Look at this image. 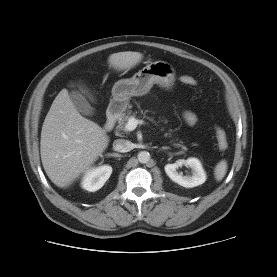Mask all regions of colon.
<instances>
[{"instance_id": "1", "label": "colon", "mask_w": 277, "mask_h": 277, "mask_svg": "<svg viewBox=\"0 0 277 277\" xmlns=\"http://www.w3.org/2000/svg\"><path fill=\"white\" fill-rule=\"evenodd\" d=\"M180 80L187 85H196V80L189 75H182ZM215 136L219 150L226 151L229 146V141L225 130L220 126H215Z\"/></svg>"}]
</instances>
